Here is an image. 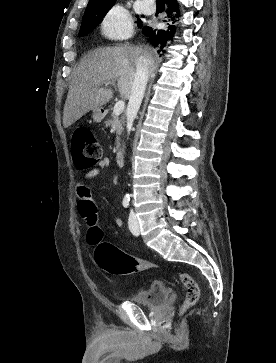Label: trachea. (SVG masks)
Instances as JSON below:
<instances>
[{"label": "trachea", "mask_w": 276, "mask_h": 363, "mask_svg": "<svg viewBox=\"0 0 276 363\" xmlns=\"http://www.w3.org/2000/svg\"><path fill=\"white\" fill-rule=\"evenodd\" d=\"M158 5H164L165 4V0H156Z\"/></svg>", "instance_id": "trachea-1"}]
</instances>
